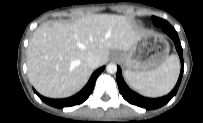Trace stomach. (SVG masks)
I'll return each mask as SVG.
<instances>
[{
    "mask_svg": "<svg viewBox=\"0 0 203 123\" xmlns=\"http://www.w3.org/2000/svg\"><path fill=\"white\" fill-rule=\"evenodd\" d=\"M168 41L157 33L143 35L129 50L114 55L126 71L146 72L159 67L168 58Z\"/></svg>",
    "mask_w": 203,
    "mask_h": 123,
    "instance_id": "stomach-1",
    "label": "stomach"
}]
</instances>
